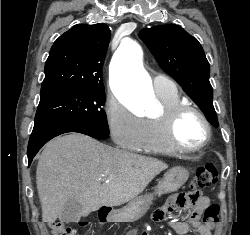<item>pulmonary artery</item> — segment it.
Wrapping results in <instances>:
<instances>
[{
    "instance_id": "pulmonary-artery-1",
    "label": "pulmonary artery",
    "mask_w": 250,
    "mask_h": 235,
    "mask_svg": "<svg viewBox=\"0 0 250 235\" xmlns=\"http://www.w3.org/2000/svg\"><path fill=\"white\" fill-rule=\"evenodd\" d=\"M153 86L156 93H173L176 91L174 82L162 75L153 78Z\"/></svg>"
}]
</instances>
